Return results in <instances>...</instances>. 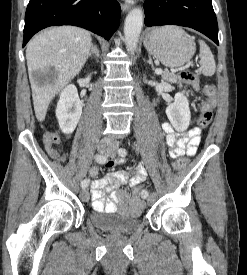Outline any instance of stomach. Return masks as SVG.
I'll use <instances>...</instances> for the list:
<instances>
[{"instance_id": "obj_1", "label": "stomach", "mask_w": 247, "mask_h": 275, "mask_svg": "<svg viewBox=\"0 0 247 275\" xmlns=\"http://www.w3.org/2000/svg\"><path fill=\"white\" fill-rule=\"evenodd\" d=\"M144 45L151 55L169 68L184 65L196 50L193 38L177 26L152 29L146 35Z\"/></svg>"}]
</instances>
